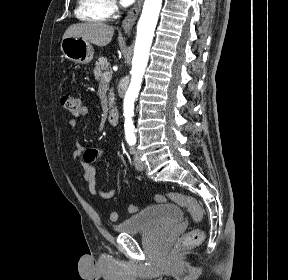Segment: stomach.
I'll list each match as a JSON object with an SVG mask.
<instances>
[{
  "label": "stomach",
  "instance_id": "obj_1",
  "mask_svg": "<svg viewBox=\"0 0 288 280\" xmlns=\"http://www.w3.org/2000/svg\"><path fill=\"white\" fill-rule=\"evenodd\" d=\"M61 51L67 59L77 64H87L93 59L92 46L88 41H84L80 38H63L61 42Z\"/></svg>",
  "mask_w": 288,
  "mask_h": 280
}]
</instances>
